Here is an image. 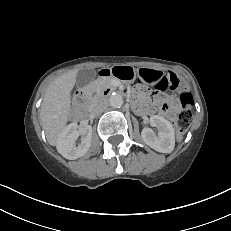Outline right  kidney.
Listing matches in <instances>:
<instances>
[{
  "instance_id": "obj_1",
  "label": "right kidney",
  "mask_w": 231,
  "mask_h": 231,
  "mask_svg": "<svg viewBox=\"0 0 231 231\" xmlns=\"http://www.w3.org/2000/svg\"><path fill=\"white\" fill-rule=\"evenodd\" d=\"M77 128V123L73 122L66 126L58 137L57 150L64 158L69 160L84 156L91 145L92 127L87 126L81 132ZM80 135L82 136L81 143L76 146V140Z\"/></svg>"
}]
</instances>
